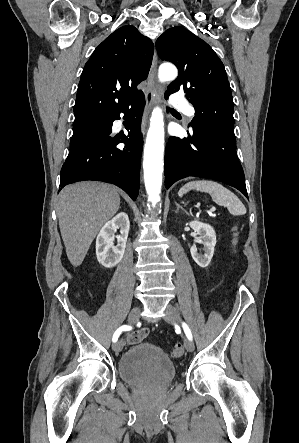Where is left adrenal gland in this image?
Returning a JSON list of instances; mask_svg holds the SVG:
<instances>
[{
  "label": "left adrenal gland",
  "instance_id": "a2214340",
  "mask_svg": "<svg viewBox=\"0 0 299 443\" xmlns=\"http://www.w3.org/2000/svg\"><path fill=\"white\" fill-rule=\"evenodd\" d=\"M175 204H176V206H177V212L179 211V209L185 211V209H184L182 206H180L177 202H175ZM185 212H186V211H185Z\"/></svg>",
  "mask_w": 299,
  "mask_h": 443
}]
</instances>
